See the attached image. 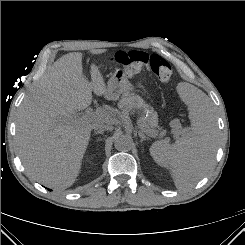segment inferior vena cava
Listing matches in <instances>:
<instances>
[{"mask_svg":"<svg viewBox=\"0 0 245 245\" xmlns=\"http://www.w3.org/2000/svg\"><path fill=\"white\" fill-rule=\"evenodd\" d=\"M93 129H105L111 131L113 127L111 125H105V124H94Z\"/></svg>","mask_w":245,"mask_h":245,"instance_id":"inferior-vena-cava-1","label":"inferior vena cava"}]
</instances>
